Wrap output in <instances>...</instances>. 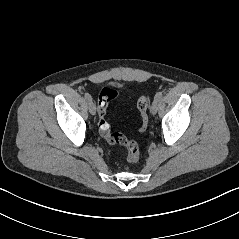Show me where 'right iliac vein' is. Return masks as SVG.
Segmentation results:
<instances>
[{
    "label": "right iliac vein",
    "instance_id": "1",
    "mask_svg": "<svg viewBox=\"0 0 239 239\" xmlns=\"http://www.w3.org/2000/svg\"><path fill=\"white\" fill-rule=\"evenodd\" d=\"M88 108H89V112H90L92 115H95V114H96V106H95V104L93 103V101H89V102H88Z\"/></svg>",
    "mask_w": 239,
    "mask_h": 239
}]
</instances>
